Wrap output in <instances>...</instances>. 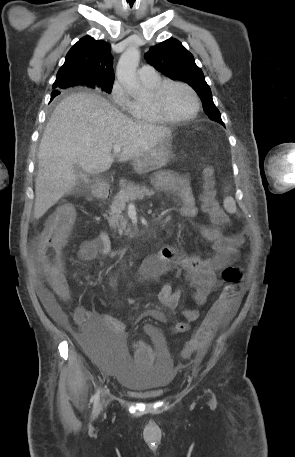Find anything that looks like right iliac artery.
<instances>
[{
  "label": "right iliac artery",
  "mask_w": 295,
  "mask_h": 457,
  "mask_svg": "<svg viewBox=\"0 0 295 457\" xmlns=\"http://www.w3.org/2000/svg\"><path fill=\"white\" fill-rule=\"evenodd\" d=\"M99 395H100V391L98 390L96 392V394L92 397V401L94 402V409H93L94 412H96L97 407H98Z\"/></svg>",
  "instance_id": "right-iliac-artery-1"
}]
</instances>
